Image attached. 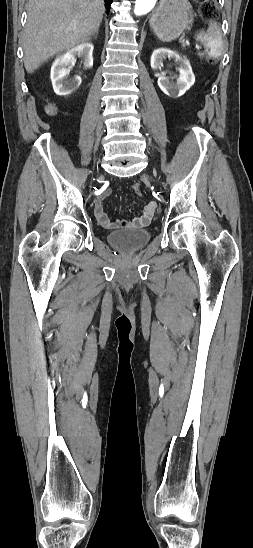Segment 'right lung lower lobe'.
Wrapping results in <instances>:
<instances>
[{
  "label": "right lung lower lobe",
  "instance_id": "right-lung-lower-lobe-1",
  "mask_svg": "<svg viewBox=\"0 0 253 548\" xmlns=\"http://www.w3.org/2000/svg\"><path fill=\"white\" fill-rule=\"evenodd\" d=\"M107 7L109 8L113 0H104Z\"/></svg>",
  "mask_w": 253,
  "mask_h": 548
}]
</instances>
